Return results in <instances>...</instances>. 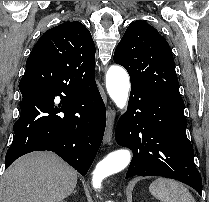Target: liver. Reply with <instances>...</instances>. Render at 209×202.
<instances>
[{"mask_svg":"<svg viewBox=\"0 0 209 202\" xmlns=\"http://www.w3.org/2000/svg\"><path fill=\"white\" fill-rule=\"evenodd\" d=\"M77 185V172L50 152L25 155L0 181V202H60Z\"/></svg>","mask_w":209,"mask_h":202,"instance_id":"6515ba94","label":"liver"}]
</instances>
